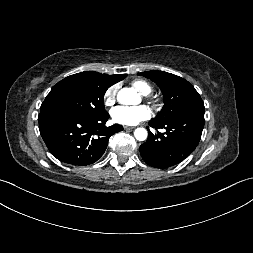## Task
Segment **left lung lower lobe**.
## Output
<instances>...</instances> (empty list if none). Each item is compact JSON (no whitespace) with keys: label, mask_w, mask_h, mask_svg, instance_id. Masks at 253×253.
Wrapping results in <instances>:
<instances>
[{"label":"left lung lower lobe","mask_w":253,"mask_h":253,"mask_svg":"<svg viewBox=\"0 0 253 253\" xmlns=\"http://www.w3.org/2000/svg\"><path fill=\"white\" fill-rule=\"evenodd\" d=\"M204 104H199L175 116L158 122L150 120L155 129H165L164 133H148V139L140 146L143 160L155 168L176 165L189 156L197 147L204 127Z\"/></svg>","instance_id":"left-lung-lower-lobe-1"}]
</instances>
